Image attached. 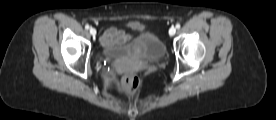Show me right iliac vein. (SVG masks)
<instances>
[{
  "label": "right iliac vein",
  "mask_w": 276,
  "mask_h": 120,
  "mask_svg": "<svg viewBox=\"0 0 276 120\" xmlns=\"http://www.w3.org/2000/svg\"><path fill=\"white\" fill-rule=\"evenodd\" d=\"M90 34L95 36L96 35V29L95 28H90Z\"/></svg>",
  "instance_id": "1"
}]
</instances>
